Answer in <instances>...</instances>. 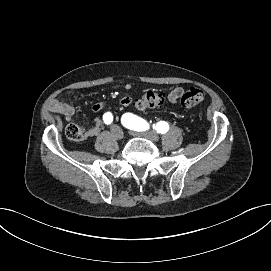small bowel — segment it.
Listing matches in <instances>:
<instances>
[{"label": "small bowel", "instance_id": "obj_1", "mask_svg": "<svg viewBox=\"0 0 271 271\" xmlns=\"http://www.w3.org/2000/svg\"><path fill=\"white\" fill-rule=\"evenodd\" d=\"M124 89L126 91H131L133 89V86H132V84L127 83L124 85ZM184 92H185L184 88L177 87L169 92L168 100L171 103H176L182 97ZM116 104L118 106H124V107L131 106L134 104V100L129 96H124V97L120 98L116 102ZM109 106L110 105L108 103L98 102L92 106V111L93 112H100V111L108 108ZM49 109H50V111H52L54 113H57V114L64 116L67 122H73V116L75 113V109H74L73 105H71L70 103L56 99L50 103ZM100 128H101V120L95 119L91 126L84 129L83 139L96 137L100 132Z\"/></svg>", "mask_w": 271, "mask_h": 271}]
</instances>
